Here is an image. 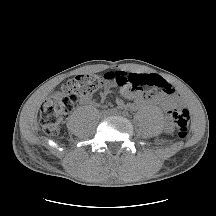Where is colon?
Instances as JSON below:
<instances>
[{
	"label": "colon",
	"instance_id": "colon-1",
	"mask_svg": "<svg viewBox=\"0 0 216 216\" xmlns=\"http://www.w3.org/2000/svg\"><path fill=\"white\" fill-rule=\"evenodd\" d=\"M123 73L98 75H80L70 79L53 93L43 104L40 123L49 135H55L64 117L68 115L81 100L92 99L98 92L106 89ZM169 85V84H168ZM171 86V85H169ZM169 116L176 127L179 138L184 139L189 132L190 113L186 107H176L169 111Z\"/></svg>",
	"mask_w": 216,
	"mask_h": 216
}]
</instances>
